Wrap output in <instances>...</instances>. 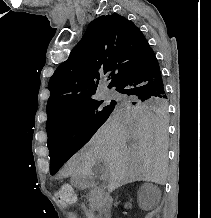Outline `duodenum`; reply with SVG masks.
Instances as JSON below:
<instances>
[{
	"instance_id": "410a0bca",
	"label": "duodenum",
	"mask_w": 211,
	"mask_h": 218,
	"mask_svg": "<svg viewBox=\"0 0 211 218\" xmlns=\"http://www.w3.org/2000/svg\"><path fill=\"white\" fill-rule=\"evenodd\" d=\"M82 182L86 186H92L95 184L94 178L90 174L82 175ZM101 218H111V202L107 200L101 210Z\"/></svg>"
}]
</instances>
